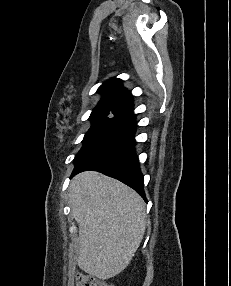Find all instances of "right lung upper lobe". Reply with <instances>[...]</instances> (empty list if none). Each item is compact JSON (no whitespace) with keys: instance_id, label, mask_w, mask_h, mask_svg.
<instances>
[{"instance_id":"obj_1","label":"right lung upper lobe","mask_w":231,"mask_h":286,"mask_svg":"<svg viewBox=\"0 0 231 286\" xmlns=\"http://www.w3.org/2000/svg\"><path fill=\"white\" fill-rule=\"evenodd\" d=\"M103 94L97 106H118L132 109V95L121 85L120 79H111L104 83L98 90Z\"/></svg>"}]
</instances>
